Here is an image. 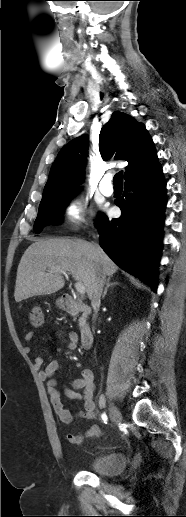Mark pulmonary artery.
Returning <instances> with one entry per match:
<instances>
[{"instance_id":"1","label":"pulmonary artery","mask_w":186,"mask_h":517,"mask_svg":"<svg viewBox=\"0 0 186 517\" xmlns=\"http://www.w3.org/2000/svg\"><path fill=\"white\" fill-rule=\"evenodd\" d=\"M111 175L110 174H106L100 184H99V190L101 191V193L105 196H111L114 192L113 190V186L111 184Z\"/></svg>"}]
</instances>
